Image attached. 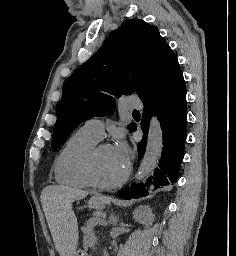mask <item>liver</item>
I'll return each mask as SVG.
<instances>
[{
  "mask_svg": "<svg viewBox=\"0 0 236 256\" xmlns=\"http://www.w3.org/2000/svg\"><path fill=\"white\" fill-rule=\"evenodd\" d=\"M86 196L88 192L67 186H47L41 192L43 212L60 256H74L77 250L79 234L72 204Z\"/></svg>",
  "mask_w": 236,
  "mask_h": 256,
  "instance_id": "1",
  "label": "liver"
}]
</instances>
